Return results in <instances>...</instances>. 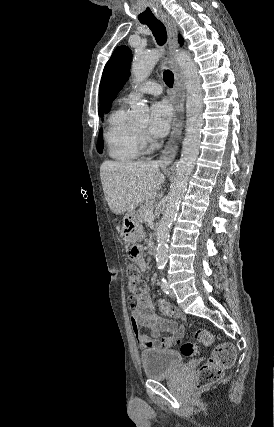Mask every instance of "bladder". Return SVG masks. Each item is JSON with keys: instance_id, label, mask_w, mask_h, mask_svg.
<instances>
[{"instance_id": "1", "label": "bladder", "mask_w": 274, "mask_h": 427, "mask_svg": "<svg viewBox=\"0 0 274 427\" xmlns=\"http://www.w3.org/2000/svg\"><path fill=\"white\" fill-rule=\"evenodd\" d=\"M181 355L173 349H145L140 353L144 375L149 380L166 379L181 368Z\"/></svg>"}]
</instances>
